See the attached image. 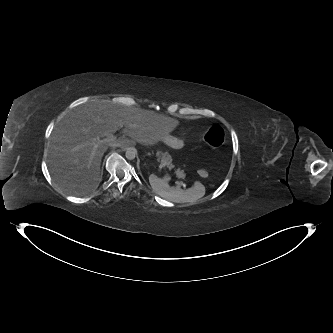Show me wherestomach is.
<instances>
[{
	"label": "stomach",
	"instance_id": "1",
	"mask_svg": "<svg viewBox=\"0 0 333 333\" xmlns=\"http://www.w3.org/2000/svg\"><path fill=\"white\" fill-rule=\"evenodd\" d=\"M196 132H198V129H194L193 133H191V135H189L188 138L186 139V142H189L190 139H194L195 138L194 134H196ZM164 141L166 143H169L172 148H182L184 146V142L182 140L172 136H166Z\"/></svg>",
	"mask_w": 333,
	"mask_h": 333
}]
</instances>
